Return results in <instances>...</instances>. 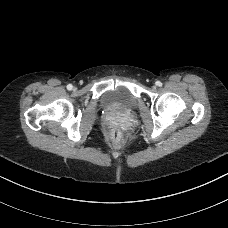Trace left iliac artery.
Returning a JSON list of instances; mask_svg holds the SVG:
<instances>
[{
	"mask_svg": "<svg viewBox=\"0 0 228 228\" xmlns=\"http://www.w3.org/2000/svg\"><path fill=\"white\" fill-rule=\"evenodd\" d=\"M156 85H157V86H162V83H161L160 81H157V82H156Z\"/></svg>",
	"mask_w": 228,
	"mask_h": 228,
	"instance_id": "obj_1",
	"label": "left iliac artery"
}]
</instances>
